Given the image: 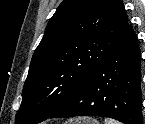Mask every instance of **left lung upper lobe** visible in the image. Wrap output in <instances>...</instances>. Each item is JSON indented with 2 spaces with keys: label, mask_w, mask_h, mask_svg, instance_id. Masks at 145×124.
<instances>
[{
  "label": "left lung upper lobe",
  "mask_w": 145,
  "mask_h": 124,
  "mask_svg": "<svg viewBox=\"0 0 145 124\" xmlns=\"http://www.w3.org/2000/svg\"><path fill=\"white\" fill-rule=\"evenodd\" d=\"M121 0H64L36 48L16 124H37L64 106L128 29Z\"/></svg>",
  "instance_id": "1"
}]
</instances>
